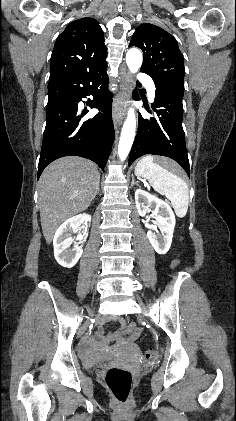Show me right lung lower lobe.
<instances>
[{"label": "right lung lower lobe", "mask_w": 236, "mask_h": 421, "mask_svg": "<svg viewBox=\"0 0 236 421\" xmlns=\"http://www.w3.org/2000/svg\"><path fill=\"white\" fill-rule=\"evenodd\" d=\"M107 65L79 75L48 83L64 95L47 103V122L38 164V178L52 161L69 155L88 158L105 168L114 140L111 93L108 91ZM92 95L90 108H97L93 118L84 120L78 104Z\"/></svg>", "instance_id": "1"}]
</instances>
